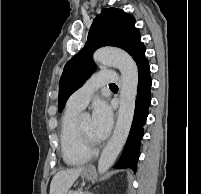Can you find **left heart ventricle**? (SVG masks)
I'll return each instance as SVG.
<instances>
[{"mask_svg":"<svg viewBox=\"0 0 201 194\" xmlns=\"http://www.w3.org/2000/svg\"><path fill=\"white\" fill-rule=\"evenodd\" d=\"M80 126L84 133L91 139L95 141V138L92 134V120L91 118H84L80 121Z\"/></svg>","mask_w":201,"mask_h":194,"instance_id":"b2bd125f","label":"left heart ventricle"}]
</instances>
